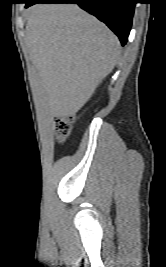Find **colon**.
Returning a JSON list of instances; mask_svg holds the SVG:
<instances>
[{
    "instance_id": "obj_1",
    "label": "colon",
    "mask_w": 166,
    "mask_h": 267,
    "mask_svg": "<svg viewBox=\"0 0 166 267\" xmlns=\"http://www.w3.org/2000/svg\"><path fill=\"white\" fill-rule=\"evenodd\" d=\"M73 119L74 117L70 114H65L57 118L56 129L60 142H63L70 135Z\"/></svg>"
}]
</instances>
